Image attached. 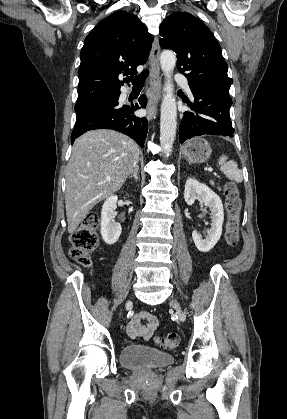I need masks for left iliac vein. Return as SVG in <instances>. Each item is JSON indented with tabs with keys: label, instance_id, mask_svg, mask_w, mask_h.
<instances>
[{
	"label": "left iliac vein",
	"instance_id": "obj_1",
	"mask_svg": "<svg viewBox=\"0 0 287 419\" xmlns=\"http://www.w3.org/2000/svg\"><path fill=\"white\" fill-rule=\"evenodd\" d=\"M171 306L177 311L178 315L180 316V318H183V313L181 311L180 305L177 301H172L171 302Z\"/></svg>",
	"mask_w": 287,
	"mask_h": 419
}]
</instances>
